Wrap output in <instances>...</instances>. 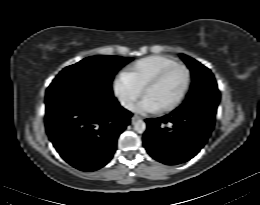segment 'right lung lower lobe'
<instances>
[{
	"instance_id": "obj_1",
	"label": "right lung lower lobe",
	"mask_w": 260,
	"mask_h": 205,
	"mask_svg": "<svg viewBox=\"0 0 260 205\" xmlns=\"http://www.w3.org/2000/svg\"><path fill=\"white\" fill-rule=\"evenodd\" d=\"M45 124L61 157L82 171L106 165L131 113L114 97L77 85H50L46 92Z\"/></svg>"
}]
</instances>
